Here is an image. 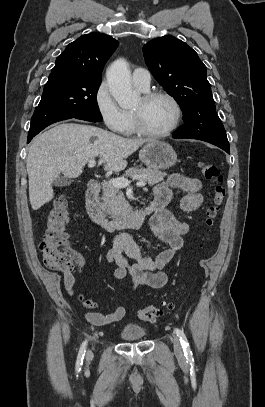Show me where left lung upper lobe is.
Wrapping results in <instances>:
<instances>
[{
  "label": "left lung upper lobe",
  "instance_id": "5c2ea615",
  "mask_svg": "<svg viewBox=\"0 0 265 407\" xmlns=\"http://www.w3.org/2000/svg\"><path fill=\"white\" fill-rule=\"evenodd\" d=\"M143 53L152 75L182 109L185 123L174 137L229 147L216 113L206 66L197 53L173 36L149 41L143 46Z\"/></svg>",
  "mask_w": 265,
  "mask_h": 407
}]
</instances>
